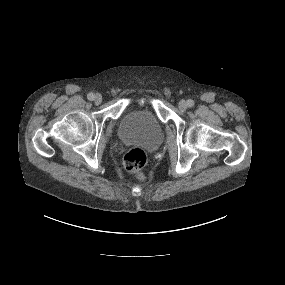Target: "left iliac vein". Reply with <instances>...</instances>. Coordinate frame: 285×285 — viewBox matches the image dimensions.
Returning <instances> with one entry per match:
<instances>
[{
  "label": "left iliac vein",
  "instance_id": "4c4485c4",
  "mask_svg": "<svg viewBox=\"0 0 285 285\" xmlns=\"http://www.w3.org/2000/svg\"><path fill=\"white\" fill-rule=\"evenodd\" d=\"M188 105H187V102L185 100H181L179 103H178V108L181 110V111H185L187 109Z\"/></svg>",
  "mask_w": 285,
  "mask_h": 285
}]
</instances>
